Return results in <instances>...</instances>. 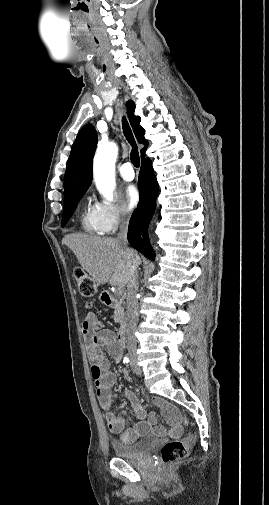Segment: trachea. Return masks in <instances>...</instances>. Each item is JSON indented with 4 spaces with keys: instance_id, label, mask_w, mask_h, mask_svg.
<instances>
[{
    "instance_id": "trachea-1",
    "label": "trachea",
    "mask_w": 269,
    "mask_h": 505,
    "mask_svg": "<svg viewBox=\"0 0 269 505\" xmlns=\"http://www.w3.org/2000/svg\"><path fill=\"white\" fill-rule=\"evenodd\" d=\"M122 126H123V133L130 145L132 146V151H131V162L135 167H139L140 165V158H139V152H138V147L136 144V141L134 139L132 130L129 126V123L125 117L122 118Z\"/></svg>"
}]
</instances>
